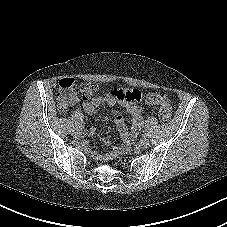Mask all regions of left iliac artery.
Here are the masks:
<instances>
[{
    "label": "left iliac artery",
    "mask_w": 227,
    "mask_h": 227,
    "mask_svg": "<svg viewBox=\"0 0 227 227\" xmlns=\"http://www.w3.org/2000/svg\"><path fill=\"white\" fill-rule=\"evenodd\" d=\"M144 136H149V134L145 132Z\"/></svg>",
    "instance_id": "left-iliac-artery-1"
}]
</instances>
